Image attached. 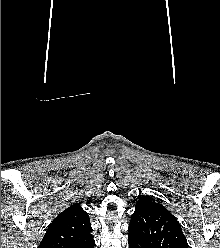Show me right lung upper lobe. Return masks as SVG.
Segmentation results:
<instances>
[{"label": "right lung upper lobe", "instance_id": "right-lung-upper-lobe-1", "mask_svg": "<svg viewBox=\"0 0 220 248\" xmlns=\"http://www.w3.org/2000/svg\"><path fill=\"white\" fill-rule=\"evenodd\" d=\"M91 231L87 212L76 203L52 221L39 248H82L93 241Z\"/></svg>", "mask_w": 220, "mask_h": 248}]
</instances>
